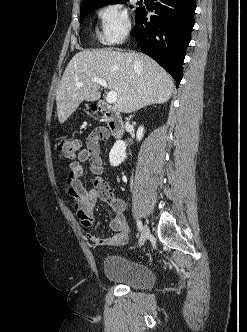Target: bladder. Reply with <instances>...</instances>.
<instances>
[{
	"mask_svg": "<svg viewBox=\"0 0 247 332\" xmlns=\"http://www.w3.org/2000/svg\"><path fill=\"white\" fill-rule=\"evenodd\" d=\"M103 271L111 282L133 289H147L154 283V274L146 264L120 255L106 256Z\"/></svg>",
	"mask_w": 247,
	"mask_h": 332,
	"instance_id": "obj_1",
	"label": "bladder"
}]
</instances>
